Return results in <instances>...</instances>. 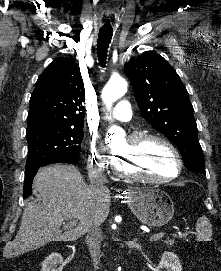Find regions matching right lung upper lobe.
<instances>
[{"label": "right lung upper lobe", "instance_id": "obj_1", "mask_svg": "<svg viewBox=\"0 0 221 271\" xmlns=\"http://www.w3.org/2000/svg\"><path fill=\"white\" fill-rule=\"evenodd\" d=\"M84 84L72 61L56 59L39 76L30 98L28 127L83 129Z\"/></svg>", "mask_w": 221, "mask_h": 271}]
</instances>
